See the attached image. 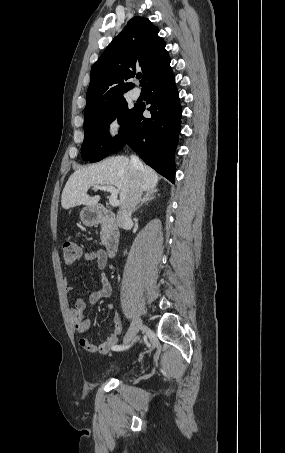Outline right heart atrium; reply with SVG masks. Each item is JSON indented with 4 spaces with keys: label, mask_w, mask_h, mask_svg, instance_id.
<instances>
[{
    "label": "right heart atrium",
    "mask_w": 285,
    "mask_h": 453,
    "mask_svg": "<svg viewBox=\"0 0 285 453\" xmlns=\"http://www.w3.org/2000/svg\"><path fill=\"white\" fill-rule=\"evenodd\" d=\"M124 129V125L120 117H112L106 124V135L110 140L118 138Z\"/></svg>",
    "instance_id": "d8ad5b80"
}]
</instances>
